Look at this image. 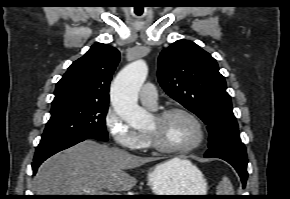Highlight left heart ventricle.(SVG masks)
<instances>
[{
  "label": "left heart ventricle",
  "mask_w": 290,
  "mask_h": 199,
  "mask_svg": "<svg viewBox=\"0 0 290 199\" xmlns=\"http://www.w3.org/2000/svg\"><path fill=\"white\" fill-rule=\"evenodd\" d=\"M145 132L152 134L165 146L184 148L198 138L196 125L185 115L172 114L162 122L152 117Z\"/></svg>",
  "instance_id": "obj_1"
}]
</instances>
